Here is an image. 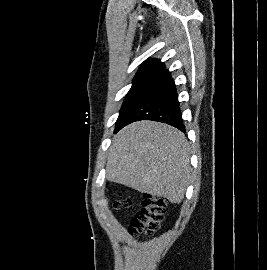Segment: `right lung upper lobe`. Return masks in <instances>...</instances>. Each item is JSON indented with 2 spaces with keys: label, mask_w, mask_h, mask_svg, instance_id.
Wrapping results in <instances>:
<instances>
[{
  "label": "right lung upper lobe",
  "mask_w": 267,
  "mask_h": 270,
  "mask_svg": "<svg viewBox=\"0 0 267 270\" xmlns=\"http://www.w3.org/2000/svg\"><path fill=\"white\" fill-rule=\"evenodd\" d=\"M165 69L164 64L157 59H149L145 61L136 73L135 78L144 76H157L161 71Z\"/></svg>",
  "instance_id": "right-lung-upper-lobe-1"
}]
</instances>
